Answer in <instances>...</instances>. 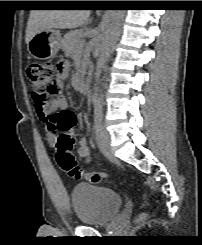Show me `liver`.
Masks as SVG:
<instances>
[{
    "mask_svg": "<svg viewBox=\"0 0 202 245\" xmlns=\"http://www.w3.org/2000/svg\"><path fill=\"white\" fill-rule=\"evenodd\" d=\"M89 21L90 10H31L26 29V44L45 29H73L84 26Z\"/></svg>",
    "mask_w": 202,
    "mask_h": 245,
    "instance_id": "obj_1",
    "label": "liver"
}]
</instances>
